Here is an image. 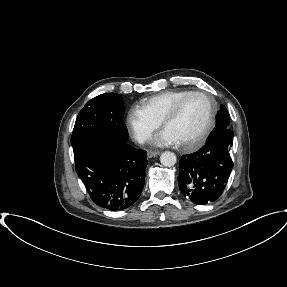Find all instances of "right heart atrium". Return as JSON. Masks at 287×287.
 Here are the masks:
<instances>
[{
	"mask_svg": "<svg viewBox=\"0 0 287 287\" xmlns=\"http://www.w3.org/2000/svg\"><path fill=\"white\" fill-rule=\"evenodd\" d=\"M126 125L132 136L141 144L148 143L160 127V123L139 108H132L128 112Z\"/></svg>",
	"mask_w": 287,
	"mask_h": 287,
	"instance_id": "1",
	"label": "right heart atrium"
}]
</instances>
